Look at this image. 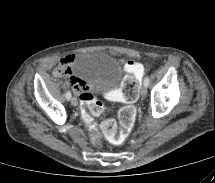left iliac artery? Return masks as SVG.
Masks as SVG:
<instances>
[{"label": "left iliac artery", "mask_w": 215, "mask_h": 183, "mask_svg": "<svg viewBox=\"0 0 215 183\" xmlns=\"http://www.w3.org/2000/svg\"><path fill=\"white\" fill-rule=\"evenodd\" d=\"M149 82H150L149 78H148V77H145V79H144V85H145L146 87H148Z\"/></svg>", "instance_id": "1"}]
</instances>
